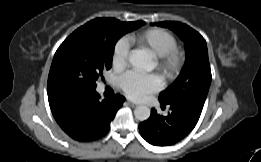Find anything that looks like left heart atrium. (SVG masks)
Here are the masks:
<instances>
[{
  "mask_svg": "<svg viewBox=\"0 0 261 162\" xmlns=\"http://www.w3.org/2000/svg\"><path fill=\"white\" fill-rule=\"evenodd\" d=\"M118 85L129 98L142 100L147 95L159 91L162 81L155 74L128 72L119 78Z\"/></svg>",
  "mask_w": 261,
  "mask_h": 162,
  "instance_id": "left-heart-atrium-1",
  "label": "left heart atrium"
}]
</instances>
